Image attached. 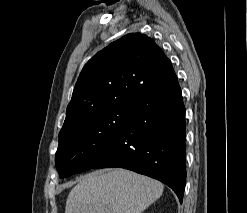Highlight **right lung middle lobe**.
<instances>
[{"instance_id": "obj_1", "label": "right lung middle lobe", "mask_w": 247, "mask_h": 213, "mask_svg": "<svg viewBox=\"0 0 247 213\" xmlns=\"http://www.w3.org/2000/svg\"><path fill=\"white\" fill-rule=\"evenodd\" d=\"M131 110L129 99L121 101L59 135L55 163L60 178L93 168L107 142L123 126Z\"/></svg>"}]
</instances>
